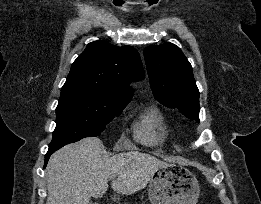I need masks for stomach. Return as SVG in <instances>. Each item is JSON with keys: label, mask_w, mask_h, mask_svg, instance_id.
Segmentation results:
<instances>
[{"label": "stomach", "mask_w": 261, "mask_h": 204, "mask_svg": "<svg viewBox=\"0 0 261 204\" xmlns=\"http://www.w3.org/2000/svg\"><path fill=\"white\" fill-rule=\"evenodd\" d=\"M200 187L187 168L168 164L153 174L148 188L151 204H196Z\"/></svg>", "instance_id": "obj_1"}]
</instances>
